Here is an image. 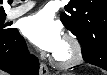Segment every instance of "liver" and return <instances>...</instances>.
<instances>
[{
  "label": "liver",
  "instance_id": "1",
  "mask_svg": "<svg viewBox=\"0 0 107 75\" xmlns=\"http://www.w3.org/2000/svg\"><path fill=\"white\" fill-rule=\"evenodd\" d=\"M1 75H6L4 72H1Z\"/></svg>",
  "mask_w": 107,
  "mask_h": 75
}]
</instances>
